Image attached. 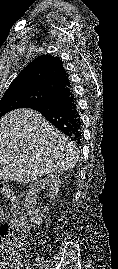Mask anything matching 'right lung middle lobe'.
<instances>
[{
  "instance_id": "obj_1",
  "label": "right lung middle lobe",
  "mask_w": 118,
  "mask_h": 269,
  "mask_svg": "<svg viewBox=\"0 0 118 269\" xmlns=\"http://www.w3.org/2000/svg\"><path fill=\"white\" fill-rule=\"evenodd\" d=\"M30 99L28 95L18 93L3 95L0 100V118L14 109L25 108Z\"/></svg>"
}]
</instances>
